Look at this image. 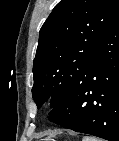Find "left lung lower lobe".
<instances>
[{"label":"left lung lower lobe","mask_w":119,"mask_h":141,"mask_svg":"<svg viewBox=\"0 0 119 141\" xmlns=\"http://www.w3.org/2000/svg\"><path fill=\"white\" fill-rule=\"evenodd\" d=\"M63 128L119 141V13L76 84L49 113Z\"/></svg>","instance_id":"left-lung-lower-lobe-1"}]
</instances>
